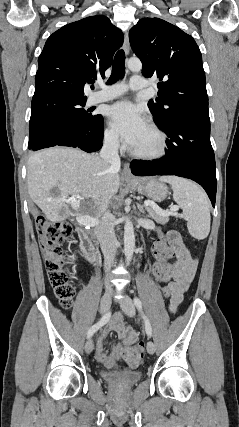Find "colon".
<instances>
[{
    "label": "colon",
    "mask_w": 239,
    "mask_h": 427,
    "mask_svg": "<svg viewBox=\"0 0 239 427\" xmlns=\"http://www.w3.org/2000/svg\"><path fill=\"white\" fill-rule=\"evenodd\" d=\"M37 232L40 237L41 251L44 256L45 266L50 284L63 308L69 309L75 295V287L70 282V273L65 268V255L62 245L72 232L68 222H52L39 215L35 220ZM161 235L155 233L156 239L151 245L155 262L151 268V275L155 282L157 293L164 295L172 273V259L169 252V232L159 230ZM121 355L131 367L138 366L144 356L143 345L124 348Z\"/></svg>",
    "instance_id": "1"
}]
</instances>
